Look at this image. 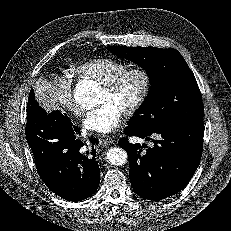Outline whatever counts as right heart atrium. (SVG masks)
I'll list each match as a JSON object with an SVG mask.
<instances>
[{
	"mask_svg": "<svg viewBox=\"0 0 231 231\" xmlns=\"http://www.w3.org/2000/svg\"><path fill=\"white\" fill-rule=\"evenodd\" d=\"M51 94L61 109L74 115L81 114L82 109L73 97L72 80L67 73L62 72L55 75L52 82Z\"/></svg>",
	"mask_w": 231,
	"mask_h": 231,
	"instance_id": "1",
	"label": "right heart atrium"
}]
</instances>
